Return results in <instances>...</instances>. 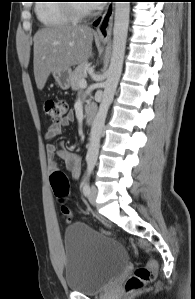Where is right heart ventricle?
Listing matches in <instances>:
<instances>
[{
  "mask_svg": "<svg viewBox=\"0 0 195 299\" xmlns=\"http://www.w3.org/2000/svg\"><path fill=\"white\" fill-rule=\"evenodd\" d=\"M36 5L35 11L39 21L46 27H60L70 25L73 18L68 12L66 5L61 0L41 1Z\"/></svg>",
  "mask_w": 195,
  "mask_h": 299,
  "instance_id": "e07e8e85",
  "label": "right heart ventricle"
}]
</instances>
